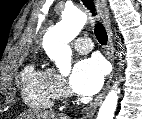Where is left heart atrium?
Here are the masks:
<instances>
[{"label":"left heart atrium","mask_w":142,"mask_h":119,"mask_svg":"<svg viewBox=\"0 0 142 119\" xmlns=\"http://www.w3.org/2000/svg\"><path fill=\"white\" fill-rule=\"evenodd\" d=\"M104 77L103 61L97 57L86 58L74 66L70 77V86L77 94L90 96L100 90Z\"/></svg>","instance_id":"1"}]
</instances>
